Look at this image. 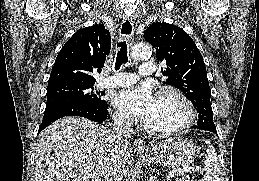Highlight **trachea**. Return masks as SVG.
Here are the masks:
<instances>
[{
    "mask_svg": "<svg viewBox=\"0 0 259 181\" xmlns=\"http://www.w3.org/2000/svg\"><path fill=\"white\" fill-rule=\"evenodd\" d=\"M118 47H119V51L116 57L115 70L120 69L122 64H125L128 62L126 41L119 42Z\"/></svg>",
    "mask_w": 259,
    "mask_h": 181,
    "instance_id": "3493384b",
    "label": "trachea"
}]
</instances>
